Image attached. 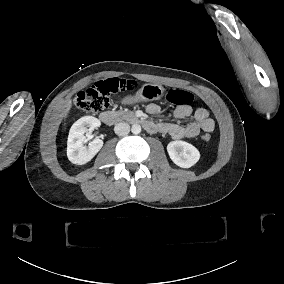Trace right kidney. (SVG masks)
<instances>
[{
	"label": "right kidney",
	"instance_id": "ca27d5eb",
	"mask_svg": "<svg viewBox=\"0 0 284 284\" xmlns=\"http://www.w3.org/2000/svg\"><path fill=\"white\" fill-rule=\"evenodd\" d=\"M100 125L99 120L94 117H83L72 126L67 146V156L71 163L84 165L91 161L104 145L103 140L95 138L88 146H84L86 136Z\"/></svg>",
	"mask_w": 284,
	"mask_h": 284
}]
</instances>
